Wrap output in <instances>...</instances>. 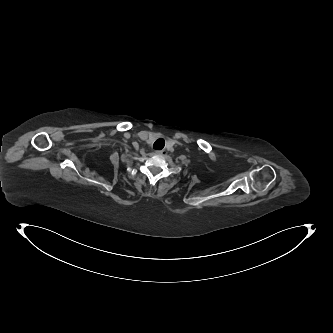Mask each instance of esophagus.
I'll return each instance as SVG.
<instances>
[{
  "mask_svg": "<svg viewBox=\"0 0 333 333\" xmlns=\"http://www.w3.org/2000/svg\"><path fill=\"white\" fill-rule=\"evenodd\" d=\"M164 152H165L164 149H162V150H156L155 151L156 154H160V155H162Z\"/></svg>",
  "mask_w": 333,
  "mask_h": 333,
  "instance_id": "obj_1",
  "label": "esophagus"
}]
</instances>
